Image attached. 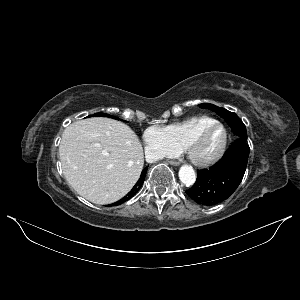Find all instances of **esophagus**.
Instances as JSON below:
<instances>
[{"label":"esophagus","instance_id":"esophagus-1","mask_svg":"<svg viewBox=\"0 0 300 300\" xmlns=\"http://www.w3.org/2000/svg\"><path fill=\"white\" fill-rule=\"evenodd\" d=\"M169 164L173 165V166H179L180 163L178 161H169Z\"/></svg>","mask_w":300,"mask_h":300}]
</instances>
